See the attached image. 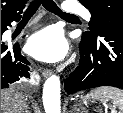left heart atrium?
<instances>
[{
  "instance_id": "left-heart-atrium-1",
  "label": "left heart atrium",
  "mask_w": 123,
  "mask_h": 113,
  "mask_svg": "<svg viewBox=\"0 0 123 113\" xmlns=\"http://www.w3.org/2000/svg\"><path fill=\"white\" fill-rule=\"evenodd\" d=\"M27 51L45 62H58L68 52V43L60 29L47 27L33 34L27 42Z\"/></svg>"
}]
</instances>
